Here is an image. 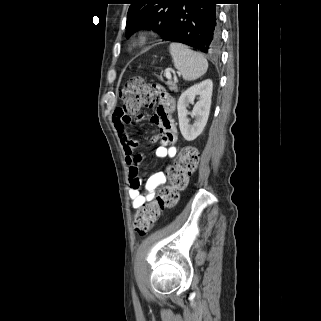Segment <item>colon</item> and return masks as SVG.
Instances as JSON below:
<instances>
[{
    "label": "colon",
    "instance_id": "1",
    "mask_svg": "<svg viewBox=\"0 0 321 321\" xmlns=\"http://www.w3.org/2000/svg\"><path fill=\"white\" fill-rule=\"evenodd\" d=\"M149 85L150 83L140 77L131 79L125 85L121 92L123 113L134 114L156 100V90H150ZM198 163L199 154L196 148L186 146L180 150L175 163L169 168V185L161 190L155 201L144 205L136 213L134 227L138 233H147L157 222L162 211L176 205L179 192L186 187Z\"/></svg>",
    "mask_w": 321,
    "mask_h": 321
}]
</instances>
